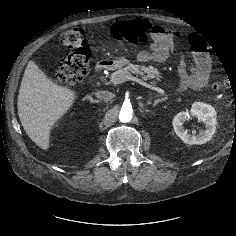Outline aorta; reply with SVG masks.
<instances>
[{
  "label": "aorta",
  "instance_id": "762f6f07",
  "mask_svg": "<svg viewBox=\"0 0 236 236\" xmlns=\"http://www.w3.org/2000/svg\"><path fill=\"white\" fill-rule=\"evenodd\" d=\"M133 110L130 106H123L119 113V120L123 123L130 122L132 119Z\"/></svg>",
  "mask_w": 236,
  "mask_h": 236
}]
</instances>
